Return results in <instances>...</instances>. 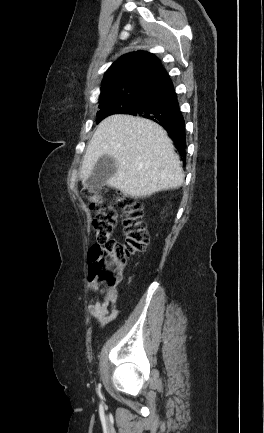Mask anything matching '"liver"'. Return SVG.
<instances>
[{"label":"liver","instance_id":"6515ba94","mask_svg":"<svg viewBox=\"0 0 264 433\" xmlns=\"http://www.w3.org/2000/svg\"><path fill=\"white\" fill-rule=\"evenodd\" d=\"M103 155L117 163V172L107 184L132 197L175 189L184 181L181 161L166 131L145 118L114 114L104 119L87 145L82 180Z\"/></svg>","mask_w":264,"mask_h":433}]
</instances>
